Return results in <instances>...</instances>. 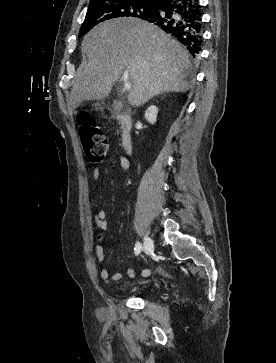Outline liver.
<instances>
[{
  "label": "liver",
  "instance_id": "obj_1",
  "mask_svg": "<svg viewBox=\"0 0 276 363\" xmlns=\"http://www.w3.org/2000/svg\"><path fill=\"white\" fill-rule=\"evenodd\" d=\"M88 62L72 87L70 105L103 100L127 74L128 102L140 106L166 92H186L193 73L189 54L154 25L137 18H116L95 26L82 41Z\"/></svg>",
  "mask_w": 276,
  "mask_h": 363
}]
</instances>
